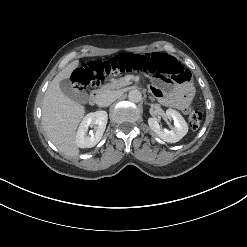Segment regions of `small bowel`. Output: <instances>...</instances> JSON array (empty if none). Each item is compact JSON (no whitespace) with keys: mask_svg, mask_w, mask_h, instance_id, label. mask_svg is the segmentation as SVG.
<instances>
[{"mask_svg":"<svg viewBox=\"0 0 247 247\" xmlns=\"http://www.w3.org/2000/svg\"><path fill=\"white\" fill-rule=\"evenodd\" d=\"M150 91L165 106L181 111H186L188 108L191 93L189 87L174 84L166 87L162 85L161 79L155 76Z\"/></svg>","mask_w":247,"mask_h":247,"instance_id":"obj_1","label":"small bowel"}]
</instances>
